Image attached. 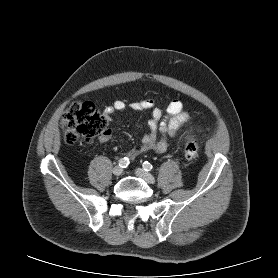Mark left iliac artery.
<instances>
[{
    "label": "left iliac artery",
    "instance_id": "obj_1",
    "mask_svg": "<svg viewBox=\"0 0 278 278\" xmlns=\"http://www.w3.org/2000/svg\"><path fill=\"white\" fill-rule=\"evenodd\" d=\"M142 166H143V169L147 172L151 171L153 168L152 164L149 163L148 161H145Z\"/></svg>",
    "mask_w": 278,
    "mask_h": 278
}]
</instances>
